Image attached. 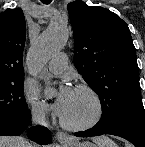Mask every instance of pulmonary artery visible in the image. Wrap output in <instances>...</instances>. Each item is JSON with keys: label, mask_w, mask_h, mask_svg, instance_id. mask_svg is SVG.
Returning <instances> with one entry per match:
<instances>
[{"label": "pulmonary artery", "mask_w": 145, "mask_h": 147, "mask_svg": "<svg viewBox=\"0 0 145 147\" xmlns=\"http://www.w3.org/2000/svg\"><path fill=\"white\" fill-rule=\"evenodd\" d=\"M49 70L54 74H61L67 68V56L64 53L56 54L48 63Z\"/></svg>", "instance_id": "1"}]
</instances>
